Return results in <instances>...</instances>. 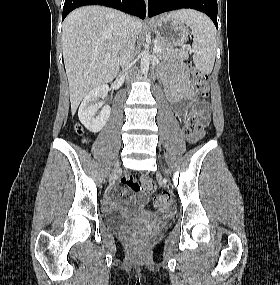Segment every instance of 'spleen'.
I'll list each match as a JSON object with an SVG mask.
<instances>
[{"instance_id": "3e777b00", "label": "spleen", "mask_w": 280, "mask_h": 285, "mask_svg": "<svg viewBox=\"0 0 280 285\" xmlns=\"http://www.w3.org/2000/svg\"><path fill=\"white\" fill-rule=\"evenodd\" d=\"M168 16L191 28L194 64L202 73L210 74L216 56V29L212 21L204 14L189 9L171 12Z\"/></svg>"}]
</instances>
